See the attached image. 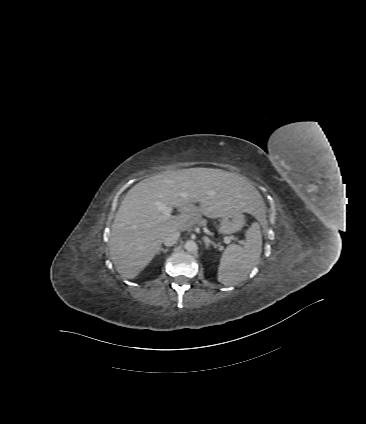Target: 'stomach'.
Instances as JSON below:
<instances>
[{
  "instance_id": "stomach-1",
  "label": "stomach",
  "mask_w": 366,
  "mask_h": 424,
  "mask_svg": "<svg viewBox=\"0 0 366 424\" xmlns=\"http://www.w3.org/2000/svg\"><path fill=\"white\" fill-rule=\"evenodd\" d=\"M244 225V216L242 213H235L222 217L219 227V233L228 235L239 231Z\"/></svg>"
}]
</instances>
